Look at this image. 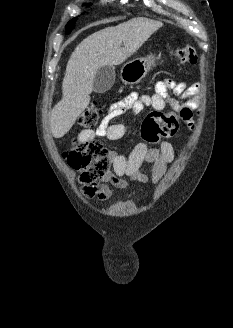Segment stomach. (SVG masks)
Returning a JSON list of instances; mask_svg holds the SVG:
<instances>
[{
	"label": "stomach",
	"mask_w": 233,
	"mask_h": 328,
	"mask_svg": "<svg viewBox=\"0 0 233 328\" xmlns=\"http://www.w3.org/2000/svg\"><path fill=\"white\" fill-rule=\"evenodd\" d=\"M157 59L155 54H150L146 57H140L129 61L121 69V80L125 84H136L140 82L148 71L155 66Z\"/></svg>",
	"instance_id": "1"
}]
</instances>
